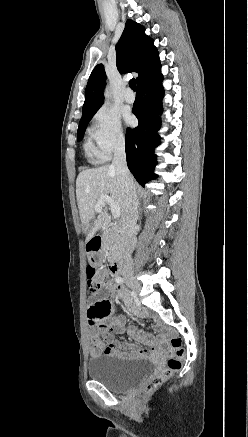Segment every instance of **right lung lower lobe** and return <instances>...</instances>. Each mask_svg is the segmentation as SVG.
Wrapping results in <instances>:
<instances>
[{"label": "right lung lower lobe", "mask_w": 248, "mask_h": 437, "mask_svg": "<svg viewBox=\"0 0 248 437\" xmlns=\"http://www.w3.org/2000/svg\"><path fill=\"white\" fill-rule=\"evenodd\" d=\"M161 65L158 64L137 83L138 91L133 105V113L139 121L135 129L126 132L127 165L136 180L142 186L154 179L156 155L153 150L159 144L157 130L160 128L162 112L161 99L164 94Z\"/></svg>", "instance_id": "right-lung-lower-lobe-1"}]
</instances>
